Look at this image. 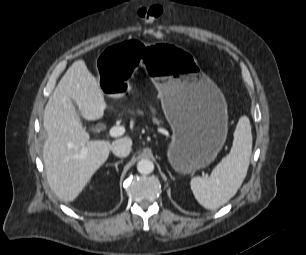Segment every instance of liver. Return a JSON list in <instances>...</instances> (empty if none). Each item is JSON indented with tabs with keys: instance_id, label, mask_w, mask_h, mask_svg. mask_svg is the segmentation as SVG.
Listing matches in <instances>:
<instances>
[{
	"instance_id": "liver-1",
	"label": "liver",
	"mask_w": 306,
	"mask_h": 255,
	"mask_svg": "<svg viewBox=\"0 0 306 255\" xmlns=\"http://www.w3.org/2000/svg\"><path fill=\"white\" fill-rule=\"evenodd\" d=\"M75 104L88 121L102 118L107 108L98 80L83 60L75 61L66 71L50 96L43 115L47 132L43 147L47 181L57 197L65 202L74 201L80 195L108 159L115 142L90 141ZM84 148L87 152L82 156Z\"/></svg>"
}]
</instances>
